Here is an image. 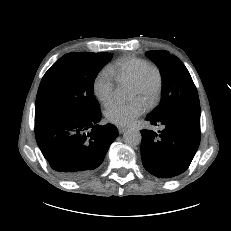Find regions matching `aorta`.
<instances>
[{
	"instance_id": "aorta-1",
	"label": "aorta",
	"mask_w": 231,
	"mask_h": 231,
	"mask_svg": "<svg viewBox=\"0 0 231 231\" xmlns=\"http://www.w3.org/2000/svg\"><path fill=\"white\" fill-rule=\"evenodd\" d=\"M115 95L117 96V98L122 99L125 98L126 92L122 88H117L115 90ZM141 139L142 136L140 131L135 128H130L126 130L123 135V140L125 144L132 147L139 145L141 143Z\"/></svg>"
}]
</instances>
